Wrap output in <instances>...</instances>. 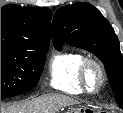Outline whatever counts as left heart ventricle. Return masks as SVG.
<instances>
[{
	"instance_id": "1",
	"label": "left heart ventricle",
	"mask_w": 123,
	"mask_h": 113,
	"mask_svg": "<svg viewBox=\"0 0 123 113\" xmlns=\"http://www.w3.org/2000/svg\"><path fill=\"white\" fill-rule=\"evenodd\" d=\"M99 81L98 73L96 70L92 69L89 75V82L92 88L96 87Z\"/></svg>"
}]
</instances>
